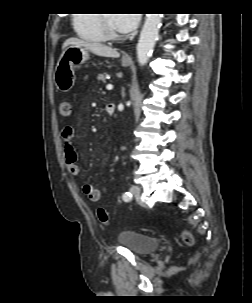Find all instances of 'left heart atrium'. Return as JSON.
I'll return each instance as SVG.
<instances>
[{
  "instance_id": "left-heart-atrium-1",
  "label": "left heart atrium",
  "mask_w": 252,
  "mask_h": 303,
  "mask_svg": "<svg viewBox=\"0 0 252 303\" xmlns=\"http://www.w3.org/2000/svg\"><path fill=\"white\" fill-rule=\"evenodd\" d=\"M114 23L119 31L131 32L139 24V14H114Z\"/></svg>"
}]
</instances>
